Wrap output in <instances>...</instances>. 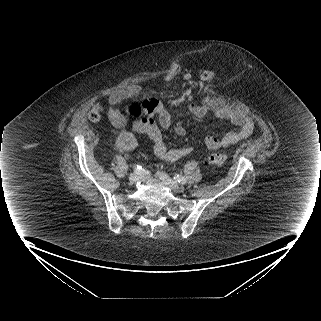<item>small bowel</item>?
Masks as SVG:
<instances>
[{
	"mask_svg": "<svg viewBox=\"0 0 321 321\" xmlns=\"http://www.w3.org/2000/svg\"><path fill=\"white\" fill-rule=\"evenodd\" d=\"M135 88L126 91H119L108 99V117L116 128H125L127 120L119 109V104L135 94ZM143 110L146 118L136 123L130 129L123 130L116 141L120 150L128 151L134 149L137 144V135L144 134L153 142L154 155L164 162H175L191 153L190 147L168 148L162 139L159 126L168 128L171 125V114L163 103L156 98H150L143 103ZM211 111L210 104H193L188 106L187 112L196 118H202ZM218 119L228 121L239 127L236 131H230L223 136L208 135L205 138V145L208 149L216 150L229 147L237 142L247 139L254 131V123L250 117L239 110L219 108L215 110ZM178 136H184L186 130L182 125L174 128Z\"/></svg>",
	"mask_w": 321,
	"mask_h": 321,
	"instance_id": "1",
	"label": "small bowel"
}]
</instances>
